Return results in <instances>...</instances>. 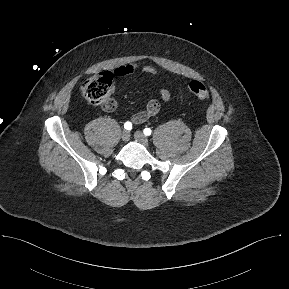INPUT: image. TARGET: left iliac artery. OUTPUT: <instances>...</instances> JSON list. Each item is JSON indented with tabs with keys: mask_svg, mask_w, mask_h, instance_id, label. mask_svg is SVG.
Segmentation results:
<instances>
[{
	"mask_svg": "<svg viewBox=\"0 0 289 289\" xmlns=\"http://www.w3.org/2000/svg\"><path fill=\"white\" fill-rule=\"evenodd\" d=\"M143 132H144V134H145L146 136H150L151 133H152V131H151L150 128H145Z\"/></svg>",
	"mask_w": 289,
	"mask_h": 289,
	"instance_id": "1",
	"label": "left iliac artery"
}]
</instances>
